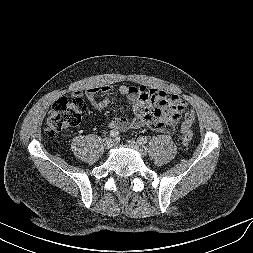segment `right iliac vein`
<instances>
[{"label":"right iliac vein","mask_w":253,"mask_h":253,"mask_svg":"<svg viewBox=\"0 0 253 253\" xmlns=\"http://www.w3.org/2000/svg\"><path fill=\"white\" fill-rule=\"evenodd\" d=\"M104 145H105L106 149H111V148L114 147L115 141L112 138H108V139L105 140Z\"/></svg>","instance_id":"right-iliac-vein-1"}]
</instances>
